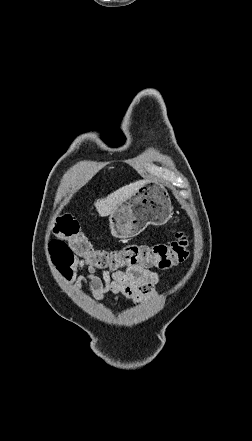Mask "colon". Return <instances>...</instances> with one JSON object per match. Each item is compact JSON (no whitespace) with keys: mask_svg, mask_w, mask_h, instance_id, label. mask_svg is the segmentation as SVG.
Returning <instances> with one entry per match:
<instances>
[{"mask_svg":"<svg viewBox=\"0 0 252 441\" xmlns=\"http://www.w3.org/2000/svg\"><path fill=\"white\" fill-rule=\"evenodd\" d=\"M54 232L57 238L50 242L49 252L54 264L64 275L75 257L84 259L97 269L116 272L132 267L168 269L185 261L189 255V241L182 232H176L175 240L167 244H134L113 251L94 248L70 215L58 218Z\"/></svg>","mask_w":252,"mask_h":441,"instance_id":"5ec220e1","label":"colon"}]
</instances>
